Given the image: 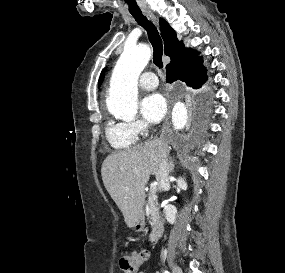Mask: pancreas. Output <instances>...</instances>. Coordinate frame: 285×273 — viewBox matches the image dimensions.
<instances>
[{
    "label": "pancreas",
    "mask_w": 285,
    "mask_h": 273,
    "mask_svg": "<svg viewBox=\"0 0 285 273\" xmlns=\"http://www.w3.org/2000/svg\"><path fill=\"white\" fill-rule=\"evenodd\" d=\"M154 200H155V191L150 190L149 193V208L147 210V215H152L153 213V208H154Z\"/></svg>",
    "instance_id": "cf45deb5"
}]
</instances>
